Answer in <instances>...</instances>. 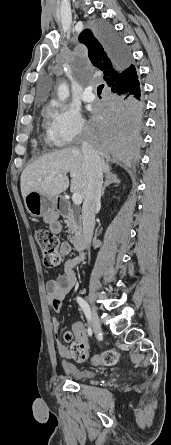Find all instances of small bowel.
<instances>
[{
    "mask_svg": "<svg viewBox=\"0 0 171 445\" xmlns=\"http://www.w3.org/2000/svg\"><path fill=\"white\" fill-rule=\"evenodd\" d=\"M50 230L54 234H59L62 230V226L58 222H53L50 224ZM71 251L72 247L68 242H62L60 244L59 252L61 256H67ZM83 259L84 255L80 254L74 258L67 260L64 265L63 273L56 279L48 281L46 284L47 301L57 314H60L62 312V301L77 283L75 268L79 263L83 261ZM59 324V317L52 318V325L55 329L56 337ZM72 330L74 333L75 342L82 343L87 348L88 337L83 324L79 322L74 323L72 325ZM57 350L62 357L67 359L73 358L71 349L60 342H57ZM64 366L68 368L70 365L65 363Z\"/></svg>",
    "mask_w": 171,
    "mask_h": 445,
    "instance_id": "c3829d8e",
    "label": "small bowel"
}]
</instances>
